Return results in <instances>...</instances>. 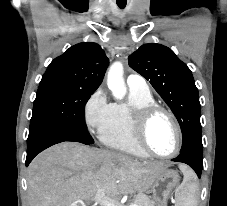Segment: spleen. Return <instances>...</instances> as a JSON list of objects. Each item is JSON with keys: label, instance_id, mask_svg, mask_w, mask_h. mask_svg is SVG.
<instances>
[{"label": "spleen", "instance_id": "3e777b00", "mask_svg": "<svg viewBox=\"0 0 227 206\" xmlns=\"http://www.w3.org/2000/svg\"><path fill=\"white\" fill-rule=\"evenodd\" d=\"M182 171L184 173V180L175 193L177 206H195L198 186L191 179V173L189 171L186 169H182Z\"/></svg>", "mask_w": 227, "mask_h": 206}]
</instances>
